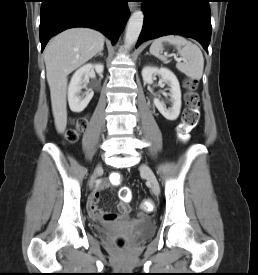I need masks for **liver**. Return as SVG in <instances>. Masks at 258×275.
Returning a JSON list of instances; mask_svg holds the SVG:
<instances>
[{"mask_svg":"<svg viewBox=\"0 0 258 275\" xmlns=\"http://www.w3.org/2000/svg\"><path fill=\"white\" fill-rule=\"evenodd\" d=\"M104 41L98 31L73 28L58 34L46 46V76L58 133H63L67 125V76L102 51Z\"/></svg>","mask_w":258,"mask_h":275,"instance_id":"6515ba94","label":"liver"}]
</instances>
